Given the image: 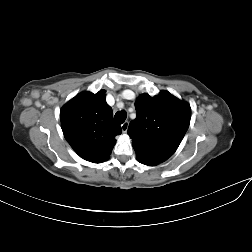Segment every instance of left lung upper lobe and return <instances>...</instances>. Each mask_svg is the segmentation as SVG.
Masks as SVG:
<instances>
[{
	"mask_svg": "<svg viewBox=\"0 0 252 252\" xmlns=\"http://www.w3.org/2000/svg\"><path fill=\"white\" fill-rule=\"evenodd\" d=\"M137 117L130 122L128 135L136 156L158 163L177 150L191 118L190 106L169 92L151 97L144 93L135 103Z\"/></svg>",
	"mask_w": 252,
	"mask_h": 252,
	"instance_id": "5c2ea615",
	"label": "left lung upper lobe"
}]
</instances>
